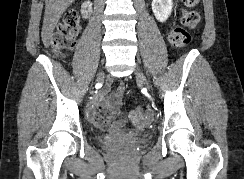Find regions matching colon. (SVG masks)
<instances>
[{
	"instance_id": "colon-1",
	"label": "colon",
	"mask_w": 244,
	"mask_h": 179,
	"mask_svg": "<svg viewBox=\"0 0 244 179\" xmlns=\"http://www.w3.org/2000/svg\"><path fill=\"white\" fill-rule=\"evenodd\" d=\"M186 3L183 7L180 22L177 26L172 28L169 32V38L171 44L177 48H184L189 40L190 33L196 27L199 21V15L197 11L193 10L197 0H182ZM77 24L75 21H68L63 24H59L54 31L51 38V47L57 53H62L71 49L75 42ZM139 108H132L129 111V116L136 123L137 126L141 125L143 120L144 107H147V102H140ZM115 116H124V111H115Z\"/></svg>"
}]
</instances>
